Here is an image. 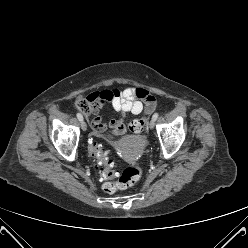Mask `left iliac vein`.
<instances>
[{
	"mask_svg": "<svg viewBox=\"0 0 248 248\" xmlns=\"http://www.w3.org/2000/svg\"><path fill=\"white\" fill-rule=\"evenodd\" d=\"M154 125H155V120L151 119L150 122H149V128L153 129Z\"/></svg>",
	"mask_w": 248,
	"mask_h": 248,
	"instance_id": "1",
	"label": "left iliac vein"
}]
</instances>
